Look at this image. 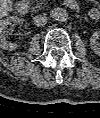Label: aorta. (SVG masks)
<instances>
[{"instance_id": "1", "label": "aorta", "mask_w": 100, "mask_h": 118, "mask_svg": "<svg viewBox=\"0 0 100 118\" xmlns=\"http://www.w3.org/2000/svg\"><path fill=\"white\" fill-rule=\"evenodd\" d=\"M51 16L53 19L57 20V21H66L68 19V13L65 9L63 8H54L52 11H51Z\"/></svg>"}]
</instances>
